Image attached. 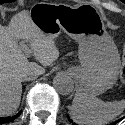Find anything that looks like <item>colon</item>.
Instances as JSON below:
<instances>
[{
  "mask_svg": "<svg viewBox=\"0 0 125 125\" xmlns=\"http://www.w3.org/2000/svg\"><path fill=\"white\" fill-rule=\"evenodd\" d=\"M123 65H122V69H121V73H120V81L122 84L125 85V44L123 47Z\"/></svg>",
  "mask_w": 125,
  "mask_h": 125,
  "instance_id": "obj_1",
  "label": "colon"
}]
</instances>
